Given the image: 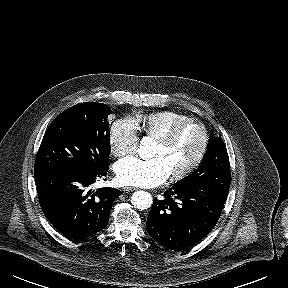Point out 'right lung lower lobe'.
<instances>
[{
	"mask_svg": "<svg viewBox=\"0 0 288 288\" xmlns=\"http://www.w3.org/2000/svg\"><path fill=\"white\" fill-rule=\"evenodd\" d=\"M107 171L108 167L94 175L60 170L34 174L42 211L60 233L81 240L107 226L113 202L121 192L110 187L89 190Z\"/></svg>",
	"mask_w": 288,
	"mask_h": 288,
	"instance_id": "right-lung-lower-lobe-1",
	"label": "right lung lower lobe"
}]
</instances>
